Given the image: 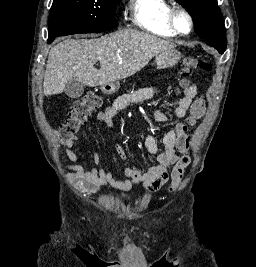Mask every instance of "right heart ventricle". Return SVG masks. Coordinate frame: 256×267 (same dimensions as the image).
Wrapping results in <instances>:
<instances>
[{
    "instance_id": "1",
    "label": "right heart ventricle",
    "mask_w": 256,
    "mask_h": 267,
    "mask_svg": "<svg viewBox=\"0 0 256 267\" xmlns=\"http://www.w3.org/2000/svg\"><path fill=\"white\" fill-rule=\"evenodd\" d=\"M160 0H139L137 5L145 10L151 11L152 15L137 24L144 32L150 36H176L177 33L172 29L169 22V9L160 7Z\"/></svg>"
}]
</instances>
